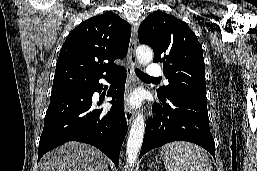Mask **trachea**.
Returning a JSON list of instances; mask_svg holds the SVG:
<instances>
[{
    "label": "trachea",
    "mask_w": 257,
    "mask_h": 171,
    "mask_svg": "<svg viewBox=\"0 0 257 171\" xmlns=\"http://www.w3.org/2000/svg\"><path fill=\"white\" fill-rule=\"evenodd\" d=\"M135 73H136V75H137L139 78H141V79L153 80V81H157V82L160 81L159 78L156 79V78H151V77H149L147 74H145L144 72H142V71H141L140 69H138V68L135 69Z\"/></svg>",
    "instance_id": "trachea-1"
}]
</instances>
